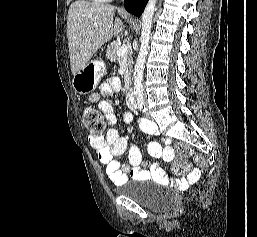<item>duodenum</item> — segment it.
<instances>
[{"instance_id": "duodenum-1", "label": "duodenum", "mask_w": 257, "mask_h": 237, "mask_svg": "<svg viewBox=\"0 0 257 237\" xmlns=\"http://www.w3.org/2000/svg\"><path fill=\"white\" fill-rule=\"evenodd\" d=\"M127 98H128V101H129L131 106H133V107L136 106L135 94H134V91L132 89L128 90Z\"/></svg>"}]
</instances>
